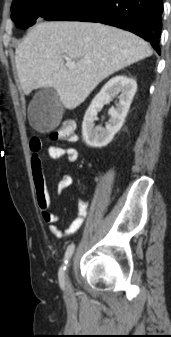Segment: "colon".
<instances>
[{
    "label": "colon",
    "mask_w": 171,
    "mask_h": 337,
    "mask_svg": "<svg viewBox=\"0 0 171 337\" xmlns=\"http://www.w3.org/2000/svg\"><path fill=\"white\" fill-rule=\"evenodd\" d=\"M50 137L54 141H75L77 138L76 122L74 119H66L56 129L52 130Z\"/></svg>",
    "instance_id": "colon-1"
}]
</instances>
